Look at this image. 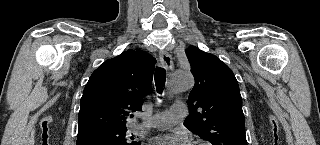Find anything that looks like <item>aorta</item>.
Here are the masks:
<instances>
[{
    "label": "aorta",
    "instance_id": "obj_1",
    "mask_svg": "<svg viewBox=\"0 0 320 145\" xmlns=\"http://www.w3.org/2000/svg\"><path fill=\"white\" fill-rule=\"evenodd\" d=\"M194 85V79L190 72L188 71H175L172 73L168 90L170 93H177L189 90Z\"/></svg>",
    "mask_w": 320,
    "mask_h": 145
}]
</instances>
